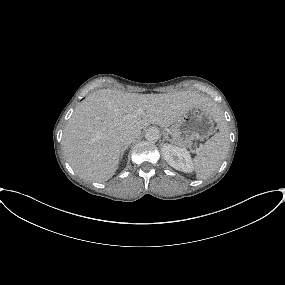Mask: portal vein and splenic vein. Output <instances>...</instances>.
I'll list each match as a JSON object with an SVG mask.
<instances>
[{
    "label": "portal vein and splenic vein",
    "instance_id": "18ae733b",
    "mask_svg": "<svg viewBox=\"0 0 285 285\" xmlns=\"http://www.w3.org/2000/svg\"><path fill=\"white\" fill-rule=\"evenodd\" d=\"M141 114H142V110H137L134 113H132L131 116L137 117V116H140Z\"/></svg>",
    "mask_w": 285,
    "mask_h": 285
}]
</instances>
